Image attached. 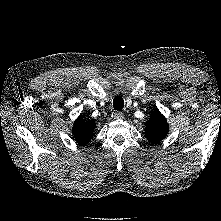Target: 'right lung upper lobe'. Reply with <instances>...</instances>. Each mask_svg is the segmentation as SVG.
Returning <instances> with one entry per match:
<instances>
[{"mask_svg":"<svg viewBox=\"0 0 221 221\" xmlns=\"http://www.w3.org/2000/svg\"><path fill=\"white\" fill-rule=\"evenodd\" d=\"M95 126L94 120L86 121L83 117H78L72 130L75 140L79 144H87L93 136Z\"/></svg>","mask_w":221,"mask_h":221,"instance_id":"obj_1","label":"right lung upper lobe"}]
</instances>
